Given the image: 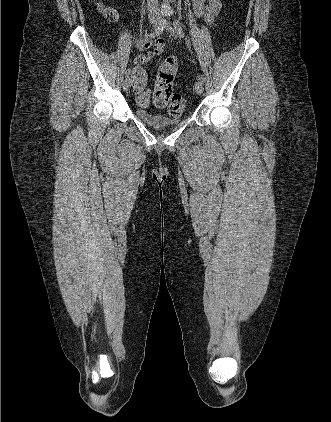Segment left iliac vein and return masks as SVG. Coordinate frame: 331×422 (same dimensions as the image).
Segmentation results:
<instances>
[{"mask_svg": "<svg viewBox=\"0 0 331 422\" xmlns=\"http://www.w3.org/2000/svg\"><path fill=\"white\" fill-rule=\"evenodd\" d=\"M161 20V19H160ZM164 27H165V30L171 35V36H175V32H174V30L172 29V27L170 26V24H169V22L166 20L165 22H164ZM194 89H195V91H196V93L197 94H202L203 93V90H204V88H203V84H202V82L200 81V80H198L196 83H195V85H194Z\"/></svg>", "mask_w": 331, "mask_h": 422, "instance_id": "1", "label": "left iliac vein"}]
</instances>
